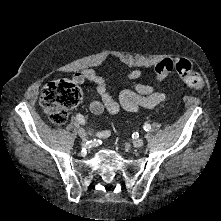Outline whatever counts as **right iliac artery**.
Returning <instances> with one entry per match:
<instances>
[{
    "mask_svg": "<svg viewBox=\"0 0 221 221\" xmlns=\"http://www.w3.org/2000/svg\"><path fill=\"white\" fill-rule=\"evenodd\" d=\"M76 118L80 124L85 123L84 117L81 114H77ZM109 134H111V129H106L104 133L103 130H98V132H95V137H98L100 139H108Z\"/></svg>",
    "mask_w": 221,
    "mask_h": 221,
    "instance_id": "82829eb1",
    "label": "right iliac artery"
}]
</instances>
